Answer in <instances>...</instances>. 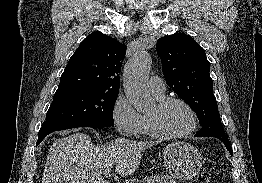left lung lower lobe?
I'll use <instances>...</instances> for the list:
<instances>
[{
  "label": "left lung lower lobe",
  "mask_w": 262,
  "mask_h": 183,
  "mask_svg": "<svg viewBox=\"0 0 262 183\" xmlns=\"http://www.w3.org/2000/svg\"><path fill=\"white\" fill-rule=\"evenodd\" d=\"M216 138H219L226 146V148L228 149V151L230 152V154L232 155V149H231V146H230V141L227 137H216Z\"/></svg>",
  "instance_id": "obj_1"
}]
</instances>
